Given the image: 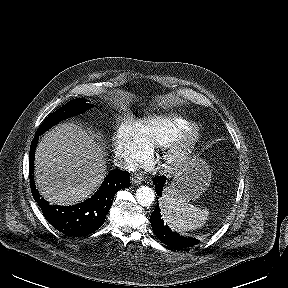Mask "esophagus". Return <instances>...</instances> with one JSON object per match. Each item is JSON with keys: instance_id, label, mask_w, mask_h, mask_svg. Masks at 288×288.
Here are the masks:
<instances>
[{"instance_id": "esophagus-1", "label": "esophagus", "mask_w": 288, "mask_h": 288, "mask_svg": "<svg viewBox=\"0 0 288 288\" xmlns=\"http://www.w3.org/2000/svg\"><path fill=\"white\" fill-rule=\"evenodd\" d=\"M143 180H144L143 177L140 175H133L131 178V182L137 185L141 184Z\"/></svg>"}]
</instances>
